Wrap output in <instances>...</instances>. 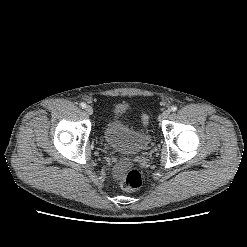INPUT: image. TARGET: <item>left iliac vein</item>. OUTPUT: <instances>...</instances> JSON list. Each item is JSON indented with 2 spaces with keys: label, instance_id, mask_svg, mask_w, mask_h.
I'll list each match as a JSON object with an SVG mask.
<instances>
[{
  "label": "left iliac vein",
  "instance_id": "left-iliac-vein-1",
  "mask_svg": "<svg viewBox=\"0 0 247 247\" xmlns=\"http://www.w3.org/2000/svg\"><path fill=\"white\" fill-rule=\"evenodd\" d=\"M170 113H171V111L169 109L164 110L163 113H162V115H161L162 119L168 118L169 115H170Z\"/></svg>",
  "mask_w": 247,
  "mask_h": 247
}]
</instances>
